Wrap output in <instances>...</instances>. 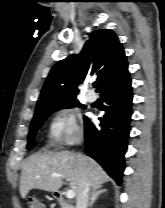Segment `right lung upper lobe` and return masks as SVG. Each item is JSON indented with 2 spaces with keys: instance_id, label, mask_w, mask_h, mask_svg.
Instances as JSON below:
<instances>
[{
  "instance_id": "right-lung-upper-lobe-1",
  "label": "right lung upper lobe",
  "mask_w": 165,
  "mask_h": 208,
  "mask_svg": "<svg viewBox=\"0 0 165 208\" xmlns=\"http://www.w3.org/2000/svg\"><path fill=\"white\" fill-rule=\"evenodd\" d=\"M127 68L124 49L115 33L109 29L95 31L79 55L61 60L51 69L35 113L53 104L76 100L77 85L87 75H97L101 92L128 73Z\"/></svg>"
}]
</instances>
